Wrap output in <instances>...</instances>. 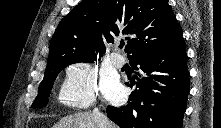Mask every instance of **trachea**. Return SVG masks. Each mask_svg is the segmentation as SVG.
<instances>
[{
	"label": "trachea",
	"mask_w": 221,
	"mask_h": 128,
	"mask_svg": "<svg viewBox=\"0 0 221 128\" xmlns=\"http://www.w3.org/2000/svg\"><path fill=\"white\" fill-rule=\"evenodd\" d=\"M123 46H124V44H121L119 47H120V48H123Z\"/></svg>",
	"instance_id": "trachea-1"
}]
</instances>
